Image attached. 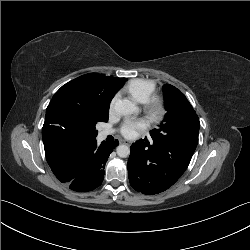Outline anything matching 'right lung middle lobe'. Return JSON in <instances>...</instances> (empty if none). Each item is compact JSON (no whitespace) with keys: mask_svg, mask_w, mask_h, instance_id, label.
Masks as SVG:
<instances>
[{"mask_svg":"<svg viewBox=\"0 0 250 250\" xmlns=\"http://www.w3.org/2000/svg\"><path fill=\"white\" fill-rule=\"evenodd\" d=\"M110 101L86 78L66 83L54 94L46 110L52 133L72 141L96 138V124L108 121Z\"/></svg>","mask_w":250,"mask_h":250,"instance_id":"obj_1","label":"right lung middle lobe"}]
</instances>
